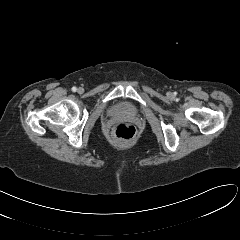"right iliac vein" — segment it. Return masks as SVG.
<instances>
[{"label": "right iliac vein", "mask_w": 240, "mask_h": 240, "mask_svg": "<svg viewBox=\"0 0 240 240\" xmlns=\"http://www.w3.org/2000/svg\"><path fill=\"white\" fill-rule=\"evenodd\" d=\"M77 91H78V93H80V94H81V93H83L84 89L80 87V88H78V90H77Z\"/></svg>", "instance_id": "right-iliac-vein-1"}]
</instances>
